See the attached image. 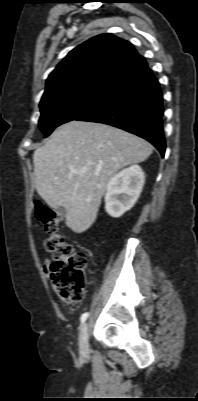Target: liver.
Wrapping results in <instances>:
<instances>
[{
    "label": "liver",
    "mask_w": 198,
    "mask_h": 401,
    "mask_svg": "<svg viewBox=\"0 0 198 401\" xmlns=\"http://www.w3.org/2000/svg\"><path fill=\"white\" fill-rule=\"evenodd\" d=\"M152 150L149 142L124 130L72 120L33 154L37 193L49 206L65 207V224L84 232L96 220L110 179L125 166L145 161Z\"/></svg>",
    "instance_id": "1"
}]
</instances>
